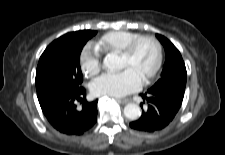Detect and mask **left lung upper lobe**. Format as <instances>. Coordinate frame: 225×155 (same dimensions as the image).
Returning <instances> with one entry per match:
<instances>
[{"instance_id": "obj_1", "label": "left lung upper lobe", "mask_w": 225, "mask_h": 155, "mask_svg": "<svg viewBox=\"0 0 225 155\" xmlns=\"http://www.w3.org/2000/svg\"><path fill=\"white\" fill-rule=\"evenodd\" d=\"M156 36L165 48L166 59L161 78L148 91H169L172 89L185 90L187 72L180 52L167 38L159 34Z\"/></svg>"}]
</instances>
